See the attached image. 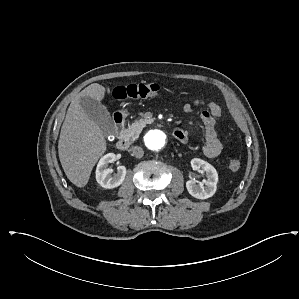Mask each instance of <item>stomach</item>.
<instances>
[{"mask_svg":"<svg viewBox=\"0 0 299 299\" xmlns=\"http://www.w3.org/2000/svg\"><path fill=\"white\" fill-rule=\"evenodd\" d=\"M123 114H124V115H128V112H127V111H123Z\"/></svg>","mask_w":299,"mask_h":299,"instance_id":"1","label":"stomach"}]
</instances>
